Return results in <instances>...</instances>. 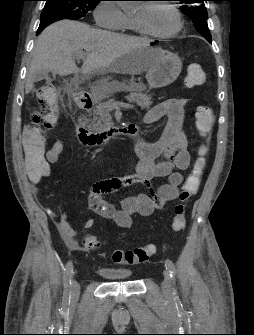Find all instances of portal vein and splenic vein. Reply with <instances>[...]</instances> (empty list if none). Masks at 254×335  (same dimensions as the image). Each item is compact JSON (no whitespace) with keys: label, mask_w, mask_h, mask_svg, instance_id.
Returning a JSON list of instances; mask_svg holds the SVG:
<instances>
[{"label":"portal vein and splenic vein","mask_w":254,"mask_h":335,"mask_svg":"<svg viewBox=\"0 0 254 335\" xmlns=\"http://www.w3.org/2000/svg\"><path fill=\"white\" fill-rule=\"evenodd\" d=\"M75 57L77 59H82V58L85 57V54L84 53H77L75 55ZM107 107L108 108H117V107L134 108V105L128 104V103L119 102V101H110V102L107 103Z\"/></svg>","instance_id":"18ae733b"}]
</instances>
